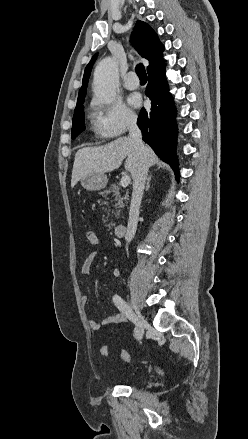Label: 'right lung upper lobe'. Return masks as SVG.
<instances>
[{
	"instance_id": "1",
	"label": "right lung upper lobe",
	"mask_w": 248,
	"mask_h": 439,
	"mask_svg": "<svg viewBox=\"0 0 248 439\" xmlns=\"http://www.w3.org/2000/svg\"><path fill=\"white\" fill-rule=\"evenodd\" d=\"M131 42L134 44L138 53L150 62V65L147 67L148 72L164 65L162 59L164 46L160 43L157 34L147 23L140 20L137 21L132 32ZM95 58L96 55L93 56L84 71L82 86L79 90L75 111L83 106L86 88Z\"/></svg>"
}]
</instances>
